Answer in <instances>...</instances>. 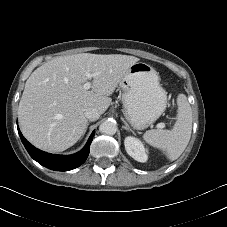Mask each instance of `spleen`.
Listing matches in <instances>:
<instances>
[{"label": "spleen", "mask_w": 227, "mask_h": 227, "mask_svg": "<svg viewBox=\"0 0 227 227\" xmlns=\"http://www.w3.org/2000/svg\"><path fill=\"white\" fill-rule=\"evenodd\" d=\"M177 105V120L172 130L153 129L143 135L146 143L163 150L171 161L183 153L192 131V110L184 94L178 95Z\"/></svg>", "instance_id": "3e777b00"}]
</instances>
